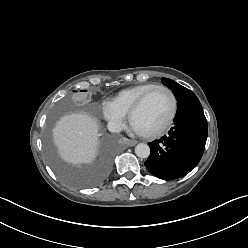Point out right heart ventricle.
<instances>
[{"label":"right heart ventricle","instance_id":"e07e8e85","mask_svg":"<svg viewBox=\"0 0 248 248\" xmlns=\"http://www.w3.org/2000/svg\"><path fill=\"white\" fill-rule=\"evenodd\" d=\"M157 84L144 83L125 88L118 92L111 100V103L123 114H128L136 101L148 90Z\"/></svg>","mask_w":248,"mask_h":248}]
</instances>
